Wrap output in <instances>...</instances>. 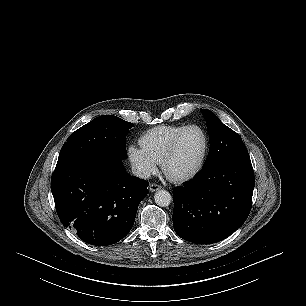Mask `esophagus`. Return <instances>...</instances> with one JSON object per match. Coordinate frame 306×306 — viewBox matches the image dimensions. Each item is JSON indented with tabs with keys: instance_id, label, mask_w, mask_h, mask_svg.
I'll return each instance as SVG.
<instances>
[{
	"instance_id": "1",
	"label": "esophagus",
	"mask_w": 306,
	"mask_h": 306,
	"mask_svg": "<svg viewBox=\"0 0 306 306\" xmlns=\"http://www.w3.org/2000/svg\"><path fill=\"white\" fill-rule=\"evenodd\" d=\"M162 187L160 186V185H158V184H155V183H152V184H150V186H149V190L151 191V192H155V191H157V190H160Z\"/></svg>"
}]
</instances>
